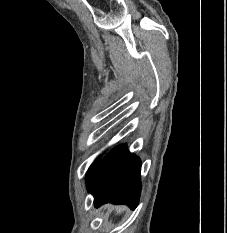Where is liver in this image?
<instances>
[{
	"label": "liver",
	"mask_w": 227,
	"mask_h": 233,
	"mask_svg": "<svg viewBox=\"0 0 227 233\" xmlns=\"http://www.w3.org/2000/svg\"><path fill=\"white\" fill-rule=\"evenodd\" d=\"M115 210H116L117 214H121L125 210V207H123V206L116 207Z\"/></svg>",
	"instance_id": "6515ba94"
}]
</instances>
